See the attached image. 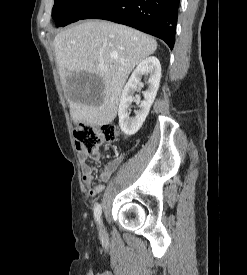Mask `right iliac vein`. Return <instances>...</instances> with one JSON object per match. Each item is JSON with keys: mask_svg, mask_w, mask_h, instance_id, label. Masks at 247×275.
<instances>
[{"mask_svg": "<svg viewBox=\"0 0 247 275\" xmlns=\"http://www.w3.org/2000/svg\"><path fill=\"white\" fill-rule=\"evenodd\" d=\"M99 234H100V236H104L105 235V232H104V229H103V225L100 223V225H99Z\"/></svg>", "mask_w": 247, "mask_h": 275, "instance_id": "63e3f726", "label": "right iliac vein"}]
</instances>
